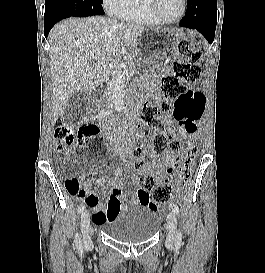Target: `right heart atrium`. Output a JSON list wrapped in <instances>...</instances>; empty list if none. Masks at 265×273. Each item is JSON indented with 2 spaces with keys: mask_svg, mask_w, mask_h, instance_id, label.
Instances as JSON below:
<instances>
[{
  "mask_svg": "<svg viewBox=\"0 0 265 273\" xmlns=\"http://www.w3.org/2000/svg\"><path fill=\"white\" fill-rule=\"evenodd\" d=\"M126 1L127 0H103V6L109 14L117 16L125 6Z\"/></svg>",
  "mask_w": 265,
  "mask_h": 273,
  "instance_id": "1",
  "label": "right heart atrium"
}]
</instances>
